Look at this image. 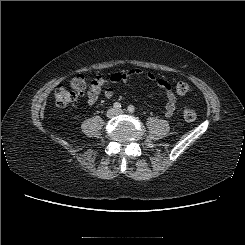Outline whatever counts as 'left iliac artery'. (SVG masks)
Returning <instances> with one entry per match:
<instances>
[{"mask_svg": "<svg viewBox=\"0 0 245 245\" xmlns=\"http://www.w3.org/2000/svg\"><path fill=\"white\" fill-rule=\"evenodd\" d=\"M127 110H128L129 113H134L135 112V107L133 105H129L127 107Z\"/></svg>", "mask_w": 245, "mask_h": 245, "instance_id": "1", "label": "left iliac artery"}]
</instances>
